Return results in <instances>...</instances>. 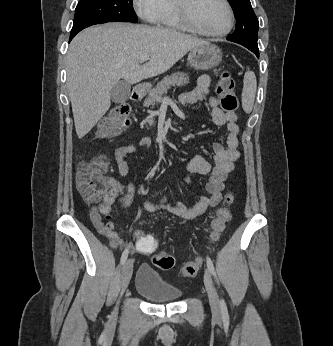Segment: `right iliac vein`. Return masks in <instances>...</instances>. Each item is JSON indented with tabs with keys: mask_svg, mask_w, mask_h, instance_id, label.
I'll use <instances>...</instances> for the list:
<instances>
[{
	"mask_svg": "<svg viewBox=\"0 0 333 346\" xmlns=\"http://www.w3.org/2000/svg\"><path fill=\"white\" fill-rule=\"evenodd\" d=\"M132 272H133V260L128 259L127 261H125L123 268H122L121 293H123L126 290V288L128 287V284H129L131 276H132ZM117 315H118V308L116 306L114 308L112 314H111V318L113 321H115L117 319Z\"/></svg>",
	"mask_w": 333,
	"mask_h": 346,
	"instance_id": "1",
	"label": "right iliac vein"
}]
</instances>
